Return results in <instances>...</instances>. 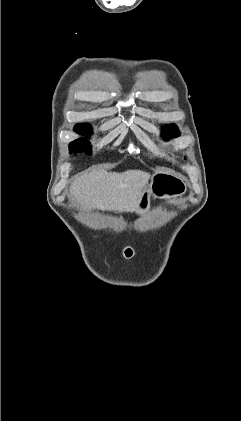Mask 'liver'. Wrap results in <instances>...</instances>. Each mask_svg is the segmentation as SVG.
<instances>
[{"instance_id":"1","label":"liver","mask_w":241,"mask_h":421,"mask_svg":"<svg viewBox=\"0 0 241 421\" xmlns=\"http://www.w3.org/2000/svg\"><path fill=\"white\" fill-rule=\"evenodd\" d=\"M149 178L150 174L142 170H95L72 182L70 196L83 209L134 212Z\"/></svg>"}]
</instances>
